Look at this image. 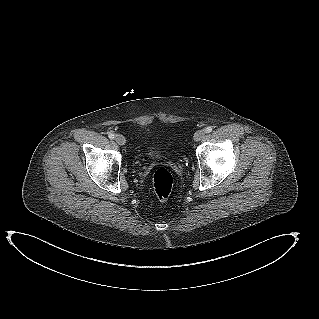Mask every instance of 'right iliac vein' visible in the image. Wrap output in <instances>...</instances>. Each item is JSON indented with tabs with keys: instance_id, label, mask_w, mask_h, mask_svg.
Returning <instances> with one entry per match:
<instances>
[{
	"instance_id": "right-iliac-vein-1",
	"label": "right iliac vein",
	"mask_w": 319,
	"mask_h": 319,
	"mask_svg": "<svg viewBox=\"0 0 319 319\" xmlns=\"http://www.w3.org/2000/svg\"><path fill=\"white\" fill-rule=\"evenodd\" d=\"M115 141H116L117 144H119V145H125V143H126V139H125V137L122 136V135H116Z\"/></svg>"
}]
</instances>
